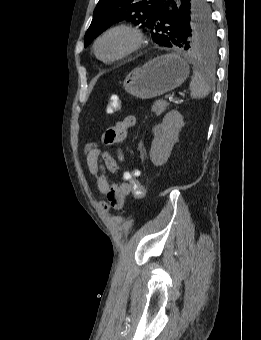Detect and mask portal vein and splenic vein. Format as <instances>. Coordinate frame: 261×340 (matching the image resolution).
Segmentation results:
<instances>
[{
	"instance_id": "18ae733b",
	"label": "portal vein and splenic vein",
	"mask_w": 261,
	"mask_h": 340,
	"mask_svg": "<svg viewBox=\"0 0 261 340\" xmlns=\"http://www.w3.org/2000/svg\"><path fill=\"white\" fill-rule=\"evenodd\" d=\"M166 99L169 100V101H172L173 97L169 95V96L166 97Z\"/></svg>"
}]
</instances>
